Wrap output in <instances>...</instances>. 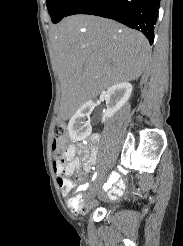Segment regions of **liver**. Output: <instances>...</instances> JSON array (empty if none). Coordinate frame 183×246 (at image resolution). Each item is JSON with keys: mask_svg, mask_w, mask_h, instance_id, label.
<instances>
[{"mask_svg": "<svg viewBox=\"0 0 183 246\" xmlns=\"http://www.w3.org/2000/svg\"><path fill=\"white\" fill-rule=\"evenodd\" d=\"M51 42L65 117L103 90L138 79L150 55L142 33L93 15L63 19Z\"/></svg>", "mask_w": 183, "mask_h": 246, "instance_id": "1", "label": "liver"}]
</instances>
